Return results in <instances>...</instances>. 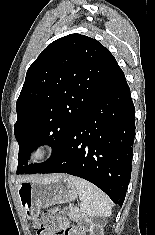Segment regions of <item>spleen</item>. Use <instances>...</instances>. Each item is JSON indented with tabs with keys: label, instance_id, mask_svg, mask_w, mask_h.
<instances>
[{
	"label": "spleen",
	"instance_id": "1",
	"mask_svg": "<svg viewBox=\"0 0 155 235\" xmlns=\"http://www.w3.org/2000/svg\"><path fill=\"white\" fill-rule=\"evenodd\" d=\"M81 200L80 209L89 217L107 218L111 215V204L108 196L95 185L75 176L69 177Z\"/></svg>",
	"mask_w": 155,
	"mask_h": 235
}]
</instances>
